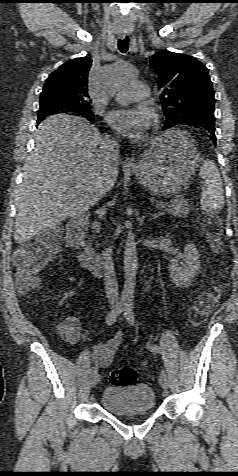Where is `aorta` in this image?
<instances>
[{"label":"aorta","instance_id":"obj_1","mask_svg":"<svg viewBox=\"0 0 238 476\" xmlns=\"http://www.w3.org/2000/svg\"><path fill=\"white\" fill-rule=\"evenodd\" d=\"M136 76V70L128 65L120 67H113L108 74V86L110 91L128 82ZM131 229V227H129ZM138 270V257L136 250L135 235L131 230L127 233V238L124 247V272L125 281L121 295V304L130 307L133 304L136 275Z\"/></svg>","mask_w":238,"mask_h":476}]
</instances>
